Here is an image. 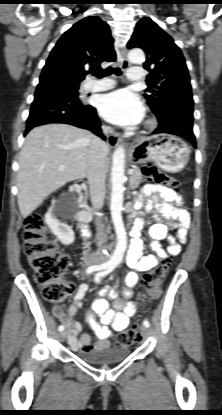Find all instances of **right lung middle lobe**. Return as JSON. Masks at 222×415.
Returning a JSON list of instances; mask_svg holds the SVG:
<instances>
[{
	"label": "right lung middle lobe",
	"mask_w": 222,
	"mask_h": 415,
	"mask_svg": "<svg viewBox=\"0 0 222 415\" xmlns=\"http://www.w3.org/2000/svg\"><path fill=\"white\" fill-rule=\"evenodd\" d=\"M70 90H71V92H73L75 95H79V92H78V90H79V84H76V83H72V82H70Z\"/></svg>",
	"instance_id": "dd1d6c3e"
}]
</instances>
